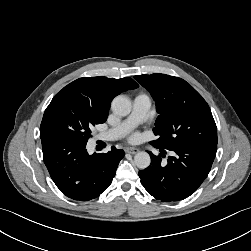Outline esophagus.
<instances>
[{
	"label": "esophagus",
	"instance_id": "1",
	"mask_svg": "<svg viewBox=\"0 0 251 251\" xmlns=\"http://www.w3.org/2000/svg\"><path fill=\"white\" fill-rule=\"evenodd\" d=\"M125 151L130 154H136L139 151V149L134 148V147H128L125 149Z\"/></svg>",
	"mask_w": 251,
	"mask_h": 251
}]
</instances>
